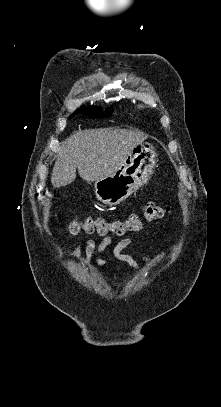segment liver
I'll use <instances>...</instances> for the list:
<instances>
[{"instance_id": "6515ba94", "label": "liver", "mask_w": 221, "mask_h": 407, "mask_svg": "<svg viewBox=\"0 0 221 407\" xmlns=\"http://www.w3.org/2000/svg\"><path fill=\"white\" fill-rule=\"evenodd\" d=\"M147 138L141 131L127 129L79 130L61 144L51 183L64 187L79 176L93 182L113 174L132 149Z\"/></svg>"}]
</instances>
